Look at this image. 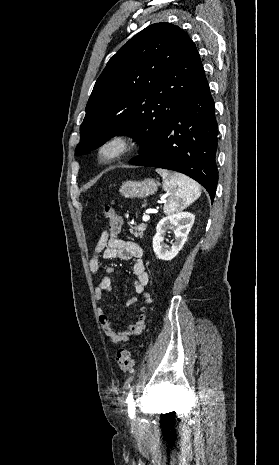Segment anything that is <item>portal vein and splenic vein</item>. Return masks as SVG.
Segmentation results:
<instances>
[{
	"mask_svg": "<svg viewBox=\"0 0 279 465\" xmlns=\"http://www.w3.org/2000/svg\"><path fill=\"white\" fill-rule=\"evenodd\" d=\"M164 198H165V197H162V198H161V202L164 201ZM142 219H143L144 222H147V221L150 220V216H149L148 214H144L143 217H142Z\"/></svg>",
	"mask_w": 279,
	"mask_h": 465,
	"instance_id": "18ae733b",
	"label": "portal vein and splenic vein"
}]
</instances>
